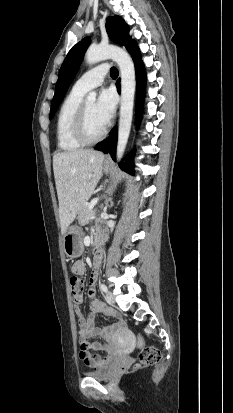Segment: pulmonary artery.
<instances>
[{
    "instance_id": "obj_1",
    "label": "pulmonary artery",
    "mask_w": 233,
    "mask_h": 413,
    "mask_svg": "<svg viewBox=\"0 0 233 413\" xmlns=\"http://www.w3.org/2000/svg\"><path fill=\"white\" fill-rule=\"evenodd\" d=\"M108 69L107 64H101L88 70L77 79L73 89L86 93L89 90L98 87L103 83Z\"/></svg>"
}]
</instances>
